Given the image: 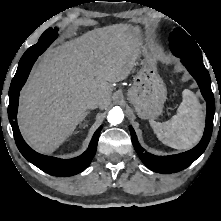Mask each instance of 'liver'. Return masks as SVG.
<instances>
[{
    "label": "liver",
    "instance_id": "1",
    "mask_svg": "<svg viewBox=\"0 0 221 221\" xmlns=\"http://www.w3.org/2000/svg\"><path fill=\"white\" fill-rule=\"evenodd\" d=\"M128 24L94 29L49 48L20 92L18 124L38 152H54L86 117L89 99L104 110L113 83L127 78L137 59L138 40Z\"/></svg>",
    "mask_w": 221,
    "mask_h": 221
}]
</instances>
